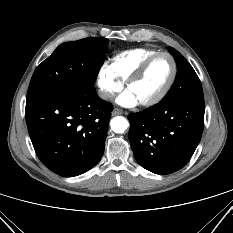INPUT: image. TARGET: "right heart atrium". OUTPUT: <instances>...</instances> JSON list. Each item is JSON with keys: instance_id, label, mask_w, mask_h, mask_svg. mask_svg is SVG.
I'll list each match as a JSON object with an SVG mask.
<instances>
[{"instance_id": "d8ad5b80", "label": "right heart atrium", "mask_w": 233, "mask_h": 233, "mask_svg": "<svg viewBox=\"0 0 233 233\" xmlns=\"http://www.w3.org/2000/svg\"><path fill=\"white\" fill-rule=\"evenodd\" d=\"M97 86L102 99L111 100L123 88V83L113 74L109 65L101 66L97 73Z\"/></svg>"}]
</instances>
